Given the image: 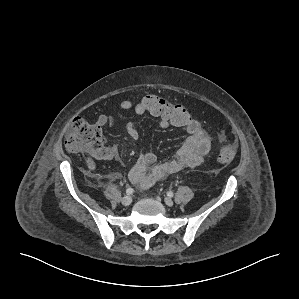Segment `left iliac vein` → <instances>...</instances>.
I'll use <instances>...</instances> for the list:
<instances>
[{
    "mask_svg": "<svg viewBox=\"0 0 299 299\" xmlns=\"http://www.w3.org/2000/svg\"><path fill=\"white\" fill-rule=\"evenodd\" d=\"M164 202H165V204L168 205V206H173V204H174L173 200H172L171 198H169V197H166V198L164 199Z\"/></svg>",
    "mask_w": 299,
    "mask_h": 299,
    "instance_id": "4c4485c4",
    "label": "left iliac vein"
}]
</instances>
